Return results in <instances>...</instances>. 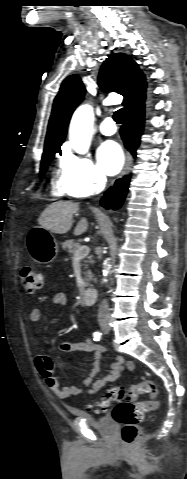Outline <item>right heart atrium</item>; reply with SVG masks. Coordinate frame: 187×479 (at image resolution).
<instances>
[{
    "label": "right heart atrium",
    "instance_id": "right-heart-atrium-1",
    "mask_svg": "<svg viewBox=\"0 0 187 479\" xmlns=\"http://www.w3.org/2000/svg\"><path fill=\"white\" fill-rule=\"evenodd\" d=\"M60 180L64 191L72 197H88L96 194L106 184L102 169L89 157L64 153L60 162Z\"/></svg>",
    "mask_w": 187,
    "mask_h": 479
}]
</instances>
